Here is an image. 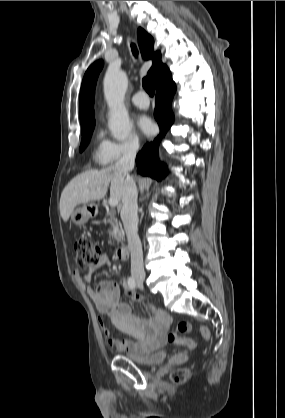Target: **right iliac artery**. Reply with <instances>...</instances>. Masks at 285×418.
<instances>
[{
    "label": "right iliac artery",
    "mask_w": 285,
    "mask_h": 418,
    "mask_svg": "<svg viewBox=\"0 0 285 418\" xmlns=\"http://www.w3.org/2000/svg\"><path fill=\"white\" fill-rule=\"evenodd\" d=\"M128 286H129L130 289H135V287H136L135 280L132 277L128 278Z\"/></svg>",
    "instance_id": "obj_1"
}]
</instances>
